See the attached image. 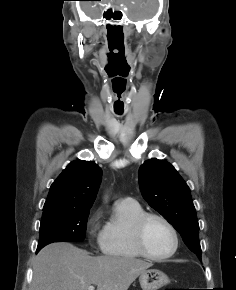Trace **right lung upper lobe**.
<instances>
[{
	"label": "right lung upper lobe",
	"instance_id": "obj_1",
	"mask_svg": "<svg viewBox=\"0 0 236 290\" xmlns=\"http://www.w3.org/2000/svg\"><path fill=\"white\" fill-rule=\"evenodd\" d=\"M102 171L93 161H72L53 182L44 211L90 210L96 198Z\"/></svg>",
	"mask_w": 236,
	"mask_h": 290
}]
</instances>
